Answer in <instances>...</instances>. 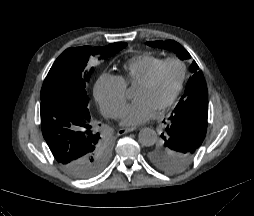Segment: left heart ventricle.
I'll use <instances>...</instances> for the list:
<instances>
[{
  "label": "left heart ventricle",
  "mask_w": 254,
  "mask_h": 216,
  "mask_svg": "<svg viewBox=\"0 0 254 216\" xmlns=\"http://www.w3.org/2000/svg\"><path fill=\"white\" fill-rule=\"evenodd\" d=\"M180 76V69L176 64L165 65L158 74L154 83L148 87L137 86L134 90V99L148 101L156 109L172 96Z\"/></svg>",
  "instance_id": "1"
}]
</instances>
